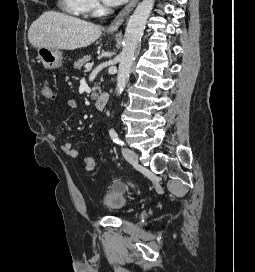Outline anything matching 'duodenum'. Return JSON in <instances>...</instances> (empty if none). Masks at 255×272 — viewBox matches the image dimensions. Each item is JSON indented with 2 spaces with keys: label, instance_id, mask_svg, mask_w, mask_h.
Segmentation results:
<instances>
[{
  "label": "duodenum",
  "instance_id": "1",
  "mask_svg": "<svg viewBox=\"0 0 255 272\" xmlns=\"http://www.w3.org/2000/svg\"><path fill=\"white\" fill-rule=\"evenodd\" d=\"M109 94L107 92L101 93L95 101V108L99 111L104 110L109 101Z\"/></svg>",
  "mask_w": 255,
  "mask_h": 272
}]
</instances>
